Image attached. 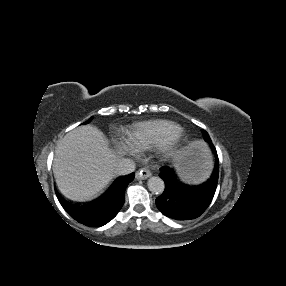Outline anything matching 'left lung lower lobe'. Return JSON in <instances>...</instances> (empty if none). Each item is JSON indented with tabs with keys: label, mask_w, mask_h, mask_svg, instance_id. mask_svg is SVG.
<instances>
[{
	"label": "left lung lower lobe",
	"mask_w": 286,
	"mask_h": 286,
	"mask_svg": "<svg viewBox=\"0 0 286 286\" xmlns=\"http://www.w3.org/2000/svg\"><path fill=\"white\" fill-rule=\"evenodd\" d=\"M215 167L211 177L200 185L182 183L169 167H163L159 176L165 182V190L156 198V206L167 217L190 220L199 217L210 205L216 191L219 176V160L215 147Z\"/></svg>",
	"instance_id": "1"
}]
</instances>
